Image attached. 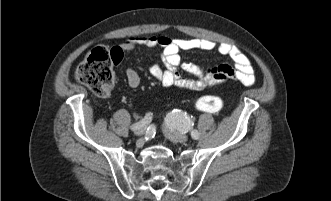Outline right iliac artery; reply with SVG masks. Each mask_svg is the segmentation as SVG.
<instances>
[{
	"mask_svg": "<svg viewBox=\"0 0 331 201\" xmlns=\"http://www.w3.org/2000/svg\"><path fill=\"white\" fill-rule=\"evenodd\" d=\"M151 114L150 113H147L146 115H145V117L141 120V121H139V122H137V123H135V124H133L130 128H131V130H136L137 128H139V127H141V126H146V125H148L150 122H151Z\"/></svg>",
	"mask_w": 331,
	"mask_h": 201,
	"instance_id": "right-iliac-artery-1",
	"label": "right iliac artery"
}]
</instances>
